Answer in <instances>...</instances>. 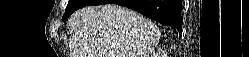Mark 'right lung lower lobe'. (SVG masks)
Masks as SVG:
<instances>
[{"mask_svg": "<svg viewBox=\"0 0 249 57\" xmlns=\"http://www.w3.org/2000/svg\"><path fill=\"white\" fill-rule=\"evenodd\" d=\"M115 3L136 10L162 25L182 30L181 0H92L89 5Z\"/></svg>", "mask_w": 249, "mask_h": 57, "instance_id": "1", "label": "right lung lower lobe"}]
</instances>
